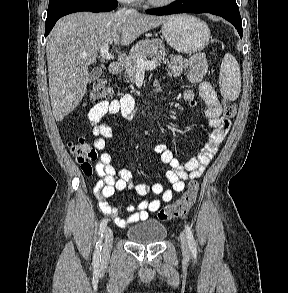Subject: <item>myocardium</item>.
I'll use <instances>...</instances> for the list:
<instances>
[{
  "label": "myocardium",
  "mask_w": 288,
  "mask_h": 293,
  "mask_svg": "<svg viewBox=\"0 0 288 293\" xmlns=\"http://www.w3.org/2000/svg\"><path fill=\"white\" fill-rule=\"evenodd\" d=\"M148 4L155 6V7H164L171 5L176 0H146Z\"/></svg>",
  "instance_id": "1"
}]
</instances>
